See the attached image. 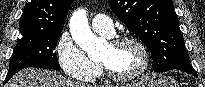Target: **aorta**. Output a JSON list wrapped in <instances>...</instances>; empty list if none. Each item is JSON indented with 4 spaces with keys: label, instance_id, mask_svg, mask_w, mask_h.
Returning <instances> with one entry per match:
<instances>
[{
    "label": "aorta",
    "instance_id": "aorta-1",
    "mask_svg": "<svg viewBox=\"0 0 205 87\" xmlns=\"http://www.w3.org/2000/svg\"><path fill=\"white\" fill-rule=\"evenodd\" d=\"M69 28L75 43L88 54L101 50L105 44L103 39L91 31L87 12L84 9H79L72 14Z\"/></svg>",
    "mask_w": 205,
    "mask_h": 87
}]
</instances>
